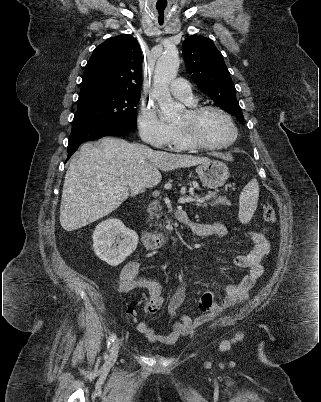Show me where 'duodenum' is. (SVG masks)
<instances>
[{"mask_svg": "<svg viewBox=\"0 0 321 402\" xmlns=\"http://www.w3.org/2000/svg\"><path fill=\"white\" fill-rule=\"evenodd\" d=\"M175 217L183 218V214L179 211L175 213ZM141 238L143 245L148 250H154L160 248L165 244L168 238L167 232H150L147 230L141 231Z\"/></svg>", "mask_w": 321, "mask_h": 402, "instance_id": "1", "label": "duodenum"}]
</instances>
